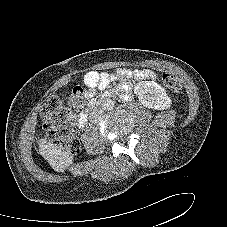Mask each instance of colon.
<instances>
[{"label": "colon", "instance_id": "obj_1", "mask_svg": "<svg viewBox=\"0 0 227 227\" xmlns=\"http://www.w3.org/2000/svg\"><path fill=\"white\" fill-rule=\"evenodd\" d=\"M163 82L169 90L173 92L181 91V84L175 76L165 74ZM85 96L84 89L81 86H75L71 90L69 100L73 104H80ZM40 116L43 121L46 137L51 142L65 148L72 154L79 152L80 142L68 124L66 108L59 97H49L42 105Z\"/></svg>", "mask_w": 227, "mask_h": 227}]
</instances>
